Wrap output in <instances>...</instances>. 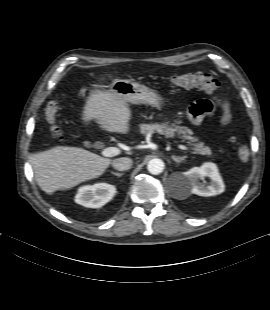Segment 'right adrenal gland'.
Instances as JSON below:
<instances>
[{
	"label": "right adrenal gland",
	"mask_w": 270,
	"mask_h": 310,
	"mask_svg": "<svg viewBox=\"0 0 270 310\" xmlns=\"http://www.w3.org/2000/svg\"><path fill=\"white\" fill-rule=\"evenodd\" d=\"M111 174H113V175H115V176H117V177H121V176H123V173H118V172H111Z\"/></svg>",
	"instance_id": "2a0ac1e0"
}]
</instances>
